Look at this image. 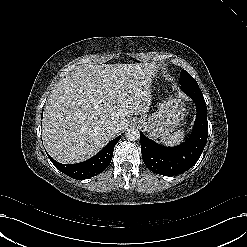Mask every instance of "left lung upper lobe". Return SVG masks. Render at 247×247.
<instances>
[{
  "instance_id": "1",
  "label": "left lung upper lobe",
  "mask_w": 247,
  "mask_h": 247,
  "mask_svg": "<svg viewBox=\"0 0 247 247\" xmlns=\"http://www.w3.org/2000/svg\"><path fill=\"white\" fill-rule=\"evenodd\" d=\"M179 83L182 86L197 85L196 80L185 70H181Z\"/></svg>"
}]
</instances>
